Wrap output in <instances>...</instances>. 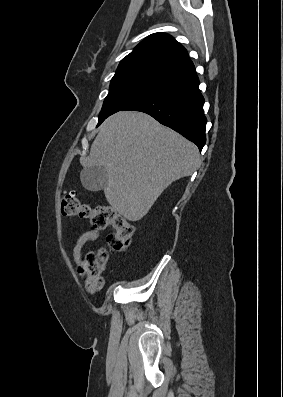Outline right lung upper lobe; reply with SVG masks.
<instances>
[{"label": "right lung upper lobe", "instance_id": "cb5924a9", "mask_svg": "<svg viewBox=\"0 0 283 397\" xmlns=\"http://www.w3.org/2000/svg\"><path fill=\"white\" fill-rule=\"evenodd\" d=\"M143 72L167 83L196 73L186 49L172 36L154 33L124 57L115 74Z\"/></svg>", "mask_w": 283, "mask_h": 397}]
</instances>
